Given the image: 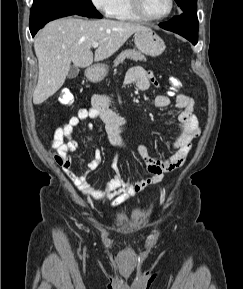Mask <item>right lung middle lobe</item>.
Here are the masks:
<instances>
[{
  "label": "right lung middle lobe",
  "instance_id": "1",
  "mask_svg": "<svg viewBox=\"0 0 243 289\" xmlns=\"http://www.w3.org/2000/svg\"><path fill=\"white\" fill-rule=\"evenodd\" d=\"M45 1L57 2L60 4H72V5H79V6H85V7H94L91 0H45Z\"/></svg>",
  "mask_w": 243,
  "mask_h": 289
}]
</instances>
